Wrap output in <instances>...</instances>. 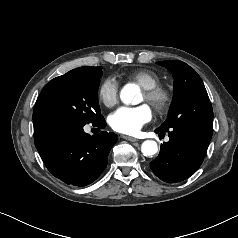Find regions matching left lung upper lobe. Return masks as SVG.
<instances>
[{
    "instance_id": "5c2ea615",
    "label": "left lung upper lobe",
    "mask_w": 238,
    "mask_h": 238,
    "mask_svg": "<svg viewBox=\"0 0 238 238\" xmlns=\"http://www.w3.org/2000/svg\"><path fill=\"white\" fill-rule=\"evenodd\" d=\"M174 77V96L167 120L158 128L167 131L182 127L213 132V109L197 72L179 60L161 61Z\"/></svg>"
}]
</instances>
